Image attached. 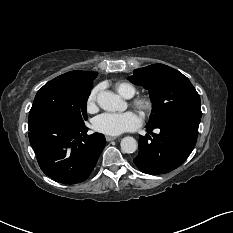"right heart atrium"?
<instances>
[{"instance_id":"obj_1","label":"right heart atrium","mask_w":233,"mask_h":233,"mask_svg":"<svg viewBox=\"0 0 233 233\" xmlns=\"http://www.w3.org/2000/svg\"><path fill=\"white\" fill-rule=\"evenodd\" d=\"M98 91H99V88L96 87L89 94L88 99H87V107L89 109H92L96 106Z\"/></svg>"}]
</instances>
